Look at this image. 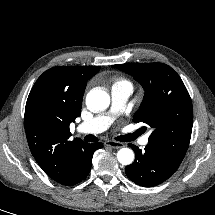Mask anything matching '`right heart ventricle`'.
Listing matches in <instances>:
<instances>
[{"mask_svg": "<svg viewBox=\"0 0 215 215\" xmlns=\"http://www.w3.org/2000/svg\"><path fill=\"white\" fill-rule=\"evenodd\" d=\"M118 85H131V84L125 79L116 78L115 81H114L113 86H118Z\"/></svg>", "mask_w": 215, "mask_h": 215, "instance_id": "e07e8e85", "label": "right heart ventricle"}]
</instances>
